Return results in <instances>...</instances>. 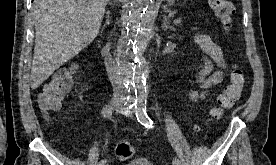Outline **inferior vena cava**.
Masks as SVG:
<instances>
[{
  "instance_id": "inferior-vena-cava-1",
  "label": "inferior vena cava",
  "mask_w": 276,
  "mask_h": 165,
  "mask_svg": "<svg viewBox=\"0 0 276 165\" xmlns=\"http://www.w3.org/2000/svg\"><path fill=\"white\" fill-rule=\"evenodd\" d=\"M105 65L109 79L113 86V100L117 102H124L126 99L124 94V86L118 74V67L116 63L110 58H107L105 60Z\"/></svg>"
}]
</instances>
